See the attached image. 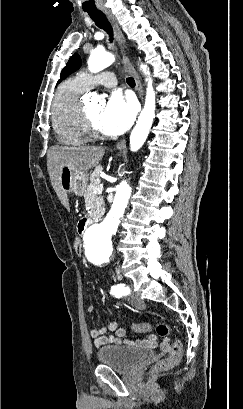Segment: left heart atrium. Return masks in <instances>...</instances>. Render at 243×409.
<instances>
[{"label": "left heart atrium", "mask_w": 243, "mask_h": 409, "mask_svg": "<svg viewBox=\"0 0 243 409\" xmlns=\"http://www.w3.org/2000/svg\"><path fill=\"white\" fill-rule=\"evenodd\" d=\"M135 114L136 108L131 100L113 94L101 111L100 130L107 135H120L131 126Z\"/></svg>", "instance_id": "obj_1"}]
</instances>
